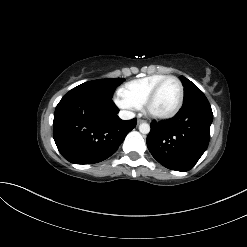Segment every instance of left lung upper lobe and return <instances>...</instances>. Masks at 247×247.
<instances>
[{
	"instance_id": "obj_1",
	"label": "left lung upper lobe",
	"mask_w": 247,
	"mask_h": 247,
	"mask_svg": "<svg viewBox=\"0 0 247 247\" xmlns=\"http://www.w3.org/2000/svg\"><path fill=\"white\" fill-rule=\"evenodd\" d=\"M180 78L184 86L183 104H186L196 98L205 97L203 92L193 82L184 76H181Z\"/></svg>"
}]
</instances>
